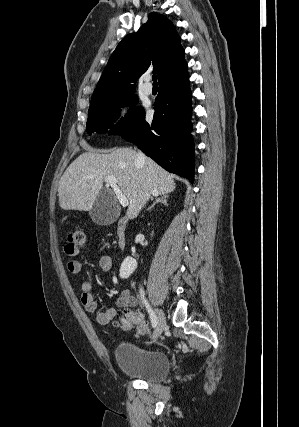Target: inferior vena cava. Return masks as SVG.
Here are the masks:
<instances>
[{"instance_id": "inferior-vena-cava-1", "label": "inferior vena cava", "mask_w": 299, "mask_h": 427, "mask_svg": "<svg viewBox=\"0 0 299 427\" xmlns=\"http://www.w3.org/2000/svg\"><path fill=\"white\" fill-rule=\"evenodd\" d=\"M144 157H145V156H144V154H143L142 152H140V151H139V152H138V159H139V160H143V159H144Z\"/></svg>"}]
</instances>
